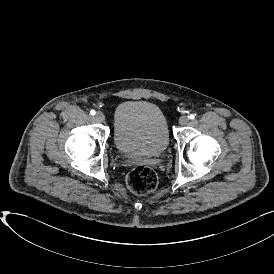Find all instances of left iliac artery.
<instances>
[{
    "mask_svg": "<svg viewBox=\"0 0 274 274\" xmlns=\"http://www.w3.org/2000/svg\"><path fill=\"white\" fill-rule=\"evenodd\" d=\"M189 118H190V119H194V118H195V115H194V114H191V115L189 116Z\"/></svg>",
    "mask_w": 274,
    "mask_h": 274,
    "instance_id": "1",
    "label": "left iliac artery"
}]
</instances>
